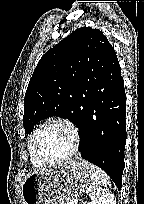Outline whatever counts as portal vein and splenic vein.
<instances>
[{"label": "portal vein and splenic vein", "instance_id": "obj_1", "mask_svg": "<svg viewBox=\"0 0 144 204\" xmlns=\"http://www.w3.org/2000/svg\"><path fill=\"white\" fill-rule=\"evenodd\" d=\"M71 204H76V203L72 200Z\"/></svg>", "mask_w": 144, "mask_h": 204}]
</instances>
